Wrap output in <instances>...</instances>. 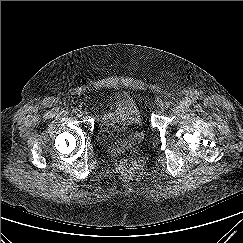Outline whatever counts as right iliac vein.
<instances>
[{
    "instance_id": "63e3f726",
    "label": "right iliac vein",
    "mask_w": 243,
    "mask_h": 243,
    "mask_svg": "<svg viewBox=\"0 0 243 243\" xmlns=\"http://www.w3.org/2000/svg\"><path fill=\"white\" fill-rule=\"evenodd\" d=\"M77 115H78L79 117L84 116V111H82V110H78V111H77Z\"/></svg>"
}]
</instances>
